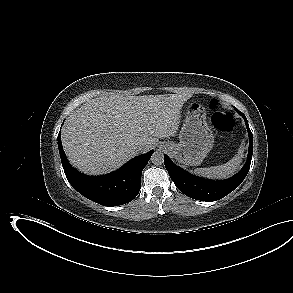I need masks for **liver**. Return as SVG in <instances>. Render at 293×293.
<instances>
[{
    "instance_id": "liver-1",
    "label": "liver",
    "mask_w": 293,
    "mask_h": 293,
    "mask_svg": "<svg viewBox=\"0 0 293 293\" xmlns=\"http://www.w3.org/2000/svg\"><path fill=\"white\" fill-rule=\"evenodd\" d=\"M192 96L108 94L76 109L62 128V144L73 167L90 175L112 172L174 136L183 104ZM141 145L142 150L138 149Z\"/></svg>"
}]
</instances>
